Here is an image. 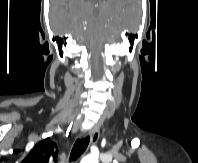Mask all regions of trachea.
Here are the masks:
<instances>
[{"mask_svg": "<svg viewBox=\"0 0 198 163\" xmlns=\"http://www.w3.org/2000/svg\"><path fill=\"white\" fill-rule=\"evenodd\" d=\"M89 142H90L89 136L77 140L72 148V151L70 154V161L77 160L85 152V150L88 147Z\"/></svg>", "mask_w": 198, "mask_h": 163, "instance_id": "3493384b", "label": "trachea"}]
</instances>
